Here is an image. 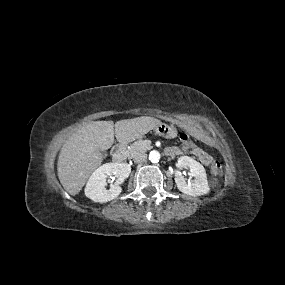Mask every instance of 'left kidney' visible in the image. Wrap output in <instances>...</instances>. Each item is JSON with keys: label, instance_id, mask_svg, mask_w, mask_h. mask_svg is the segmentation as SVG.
Instances as JSON below:
<instances>
[{"label": "left kidney", "instance_id": "5707ae66", "mask_svg": "<svg viewBox=\"0 0 285 285\" xmlns=\"http://www.w3.org/2000/svg\"><path fill=\"white\" fill-rule=\"evenodd\" d=\"M178 167L190 170V175L194 178L186 182L180 171L175 174V182L179 191L192 196H200L209 193L206 171L202 164L189 156H182L178 159Z\"/></svg>", "mask_w": 285, "mask_h": 285}]
</instances>
